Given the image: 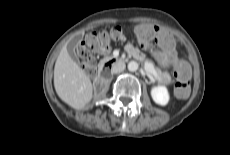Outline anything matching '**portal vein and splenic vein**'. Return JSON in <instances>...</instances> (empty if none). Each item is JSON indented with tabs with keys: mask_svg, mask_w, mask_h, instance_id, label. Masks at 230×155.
Listing matches in <instances>:
<instances>
[{
	"mask_svg": "<svg viewBox=\"0 0 230 155\" xmlns=\"http://www.w3.org/2000/svg\"><path fill=\"white\" fill-rule=\"evenodd\" d=\"M146 64H147V63H146ZM149 72H150L151 74H153V75H156V72H155L154 68H150V69H149Z\"/></svg>",
	"mask_w": 230,
	"mask_h": 155,
	"instance_id": "portal-vein-and-splenic-vein-1",
	"label": "portal vein and splenic vein"
}]
</instances>
